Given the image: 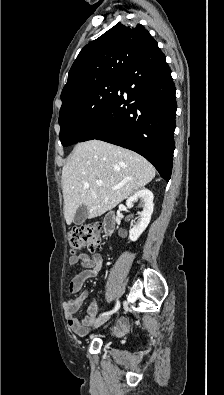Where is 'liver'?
<instances>
[{
    "label": "liver",
    "instance_id": "obj_1",
    "mask_svg": "<svg viewBox=\"0 0 224 395\" xmlns=\"http://www.w3.org/2000/svg\"><path fill=\"white\" fill-rule=\"evenodd\" d=\"M155 173L151 163L128 149L100 140L77 144L62 169L66 223L71 225L81 204L87 207L90 219L112 210L152 181ZM114 186L121 188L113 190Z\"/></svg>",
    "mask_w": 224,
    "mask_h": 395
}]
</instances>
